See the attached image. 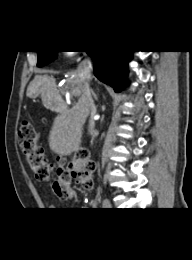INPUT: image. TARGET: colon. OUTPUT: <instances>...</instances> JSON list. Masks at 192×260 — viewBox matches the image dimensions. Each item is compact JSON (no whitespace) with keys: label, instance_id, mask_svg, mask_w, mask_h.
<instances>
[{"label":"colon","instance_id":"colon-1","mask_svg":"<svg viewBox=\"0 0 192 260\" xmlns=\"http://www.w3.org/2000/svg\"><path fill=\"white\" fill-rule=\"evenodd\" d=\"M18 144L36 179L41 182H49L51 190L58 198L66 199L68 197L72 179L85 190L93 187L95 163L89 158L87 150H80L69 162L62 161L55 177L52 178L53 165L48 162L39 143L38 132L28 120H24L20 124Z\"/></svg>","mask_w":192,"mask_h":260}]
</instances>
